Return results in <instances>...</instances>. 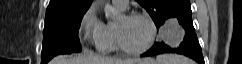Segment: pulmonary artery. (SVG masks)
<instances>
[{
	"mask_svg": "<svg viewBox=\"0 0 242 64\" xmlns=\"http://www.w3.org/2000/svg\"><path fill=\"white\" fill-rule=\"evenodd\" d=\"M113 4L120 10H124L128 6V0H113Z\"/></svg>",
	"mask_w": 242,
	"mask_h": 64,
	"instance_id": "obj_1",
	"label": "pulmonary artery"
}]
</instances>
